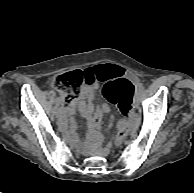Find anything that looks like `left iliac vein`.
<instances>
[{
    "instance_id": "4c4485c4",
    "label": "left iliac vein",
    "mask_w": 194,
    "mask_h": 193,
    "mask_svg": "<svg viewBox=\"0 0 194 193\" xmlns=\"http://www.w3.org/2000/svg\"><path fill=\"white\" fill-rule=\"evenodd\" d=\"M135 107L138 109V104L137 103L135 104Z\"/></svg>"
}]
</instances>
